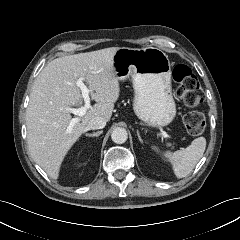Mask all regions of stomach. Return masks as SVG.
Returning <instances> with one entry per match:
<instances>
[{"instance_id": "1", "label": "stomach", "mask_w": 240, "mask_h": 240, "mask_svg": "<svg viewBox=\"0 0 240 240\" xmlns=\"http://www.w3.org/2000/svg\"><path fill=\"white\" fill-rule=\"evenodd\" d=\"M113 67L119 80L131 77L135 92L133 109L140 120L163 127L174 119L172 64L162 50L154 47L119 48L113 56Z\"/></svg>"}]
</instances>
